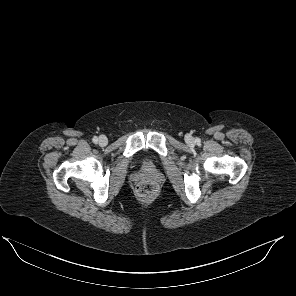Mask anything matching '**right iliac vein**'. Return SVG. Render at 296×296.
I'll use <instances>...</instances> for the list:
<instances>
[{
	"label": "right iliac vein",
	"instance_id": "right-iliac-vein-1",
	"mask_svg": "<svg viewBox=\"0 0 296 296\" xmlns=\"http://www.w3.org/2000/svg\"><path fill=\"white\" fill-rule=\"evenodd\" d=\"M107 142H108V140H107V138L105 136H100L99 137V144L101 146H105L107 144Z\"/></svg>",
	"mask_w": 296,
	"mask_h": 296
}]
</instances>
